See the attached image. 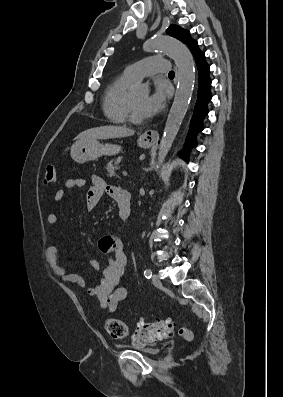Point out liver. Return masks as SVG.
Here are the masks:
<instances>
[{"mask_svg": "<svg viewBox=\"0 0 283 397\" xmlns=\"http://www.w3.org/2000/svg\"><path fill=\"white\" fill-rule=\"evenodd\" d=\"M134 130L122 126L106 125L85 130L75 138L79 142L92 139H109L133 136Z\"/></svg>", "mask_w": 283, "mask_h": 397, "instance_id": "1", "label": "liver"}]
</instances>
